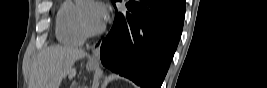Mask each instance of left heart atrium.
Returning a JSON list of instances; mask_svg holds the SVG:
<instances>
[{
	"label": "left heart atrium",
	"mask_w": 267,
	"mask_h": 88,
	"mask_svg": "<svg viewBox=\"0 0 267 88\" xmlns=\"http://www.w3.org/2000/svg\"><path fill=\"white\" fill-rule=\"evenodd\" d=\"M107 18V9L104 4L96 3L92 9V20L98 26L102 25Z\"/></svg>",
	"instance_id": "obj_1"
}]
</instances>
